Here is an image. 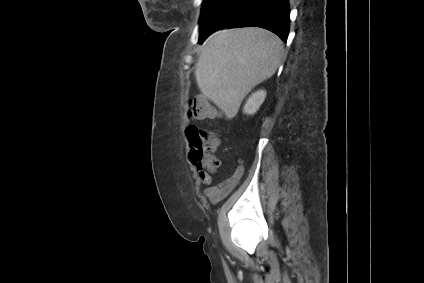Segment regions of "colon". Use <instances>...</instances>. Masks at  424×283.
<instances>
[{"label":"colon","instance_id":"colon-1","mask_svg":"<svg viewBox=\"0 0 424 283\" xmlns=\"http://www.w3.org/2000/svg\"><path fill=\"white\" fill-rule=\"evenodd\" d=\"M214 114L213 107L204 98H197L189 103L188 115L193 119H208ZM187 134L192 145L190 160L193 163L216 167L218 159L215 151L221 142L219 137L212 131L198 129L194 126L189 127Z\"/></svg>","mask_w":424,"mask_h":283}]
</instances>
